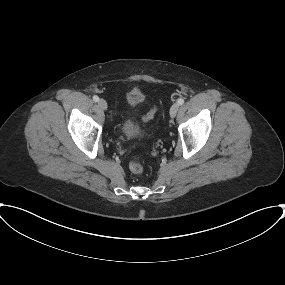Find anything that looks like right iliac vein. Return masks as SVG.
Wrapping results in <instances>:
<instances>
[{"mask_svg": "<svg viewBox=\"0 0 285 285\" xmlns=\"http://www.w3.org/2000/svg\"><path fill=\"white\" fill-rule=\"evenodd\" d=\"M98 106L101 110H106L107 109V102L104 99H100L98 101Z\"/></svg>", "mask_w": 285, "mask_h": 285, "instance_id": "63e3f726", "label": "right iliac vein"}]
</instances>
